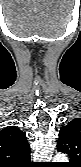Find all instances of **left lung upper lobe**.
<instances>
[{
	"label": "left lung upper lobe",
	"instance_id": "1",
	"mask_svg": "<svg viewBox=\"0 0 81 167\" xmlns=\"http://www.w3.org/2000/svg\"><path fill=\"white\" fill-rule=\"evenodd\" d=\"M58 152L69 158V167H79L81 161V119L76 118L62 126L57 142Z\"/></svg>",
	"mask_w": 81,
	"mask_h": 167
}]
</instances>
